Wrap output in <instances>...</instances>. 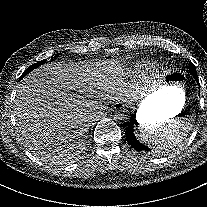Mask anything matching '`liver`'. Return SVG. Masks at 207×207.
<instances>
[{
	"label": "liver",
	"instance_id": "obj_1",
	"mask_svg": "<svg viewBox=\"0 0 207 207\" xmlns=\"http://www.w3.org/2000/svg\"><path fill=\"white\" fill-rule=\"evenodd\" d=\"M96 81L92 68L73 63L44 64L24 77L13 107L16 133L27 150L43 160L54 151H82L96 108L86 98Z\"/></svg>",
	"mask_w": 207,
	"mask_h": 207
}]
</instances>
